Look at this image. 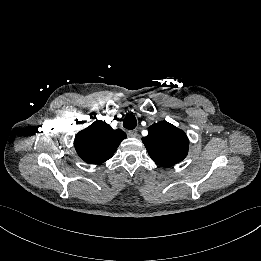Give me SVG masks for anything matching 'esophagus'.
<instances>
[{
    "mask_svg": "<svg viewBox=\"0 0 261 261\" xmlns=\"http://www.w3.org/2000/svg\"><path fill=\"white\" fill-rule=\"evenodd\" d=\"M128 135L130 136V137H137L138 136V132H137V130H129L128 131Z\"/></svg>",
    "mask_w": 261,
    "mask_h": 261,
    "instance_id": "obj_1",
    "label": "esophagus"
}]
</instances>
